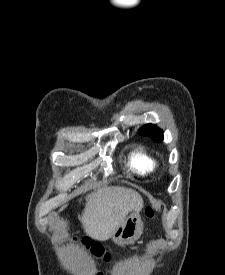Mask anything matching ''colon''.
<instances>
[{
  "label": "colon",
  "instance_id": "5ec220e1",
  "mask_svg": "<svg viewBox=\"0 0 225 275\" xmlns=\"http://www.w3.org/2000/svg\"><path fill=\"white\" fill-rule=\"evenodd\" d=\"M146 215L148 218L152 219L155 217V211L152 207L146 209ZM80 244L88 251H90L94 256L100 258L104 261L110 260V254L105 252L104 249L96 242H92L89 239H82Z\"/></svg>",
  "mask_w": 225,
  "mask_h": 275
}]
</instances>
